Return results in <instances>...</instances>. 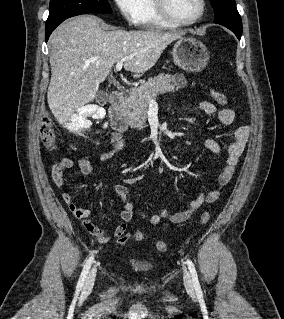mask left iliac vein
Here are the masks:
<instances>
[{"label": "left iliac vein", "mask_w": 284, "mask_h": 319, "mask_svg": "<svg viewBox=\"0 0 284 319\" xmlns=\"http://www.w3.org/2000/svg\"><path fill=\"white\" fill-rule=\"evenodd\" d=\"M183 279L186 290L189 292H193V283L191 280V276L186 268L183 269Z\"/></svg>", "instance_id": "1"}]
</instances>
